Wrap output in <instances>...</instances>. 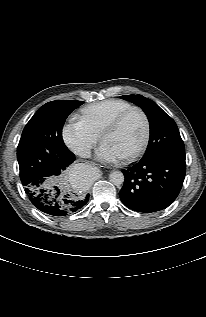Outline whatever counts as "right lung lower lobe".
<instances>
[{"mask_svg":"<svg viewBox=\"0 0 206 317\" xmlns=\"http://www.w3.org/2000/svg\"><path fill=\"white\" fill-rule=\"evenodd\" d=\"M74 160L75 155L72 152L60 153L56 165L65 170ZM24 186L31 203L40 211L52 216L72 214L89 200V194L82 196L67 191L61 184L53 183L49 177H40Z\"/></svg>","mask_w":206,"mask_h":317,"instance_id":"98d812e1","label":"right lung lower lobe"}]
</instances>
